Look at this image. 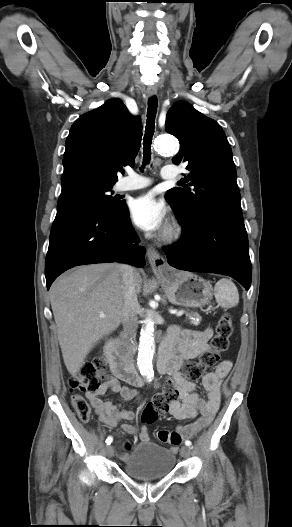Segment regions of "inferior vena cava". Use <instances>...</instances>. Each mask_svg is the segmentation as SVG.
Returning <instances> with one entry per match:
<instances>
[{
  "label": "inferior vena cava",
  "instance_id": "inferior-vena-cava-1",
  "mask_svg": "<svg viewBox=\"0 0 292 527\" xmlns=\"http://www.w3.org/2000/svg\"><path fill=\"white\" fill-rule=\"evenodd\" d=\"M123 328L128 338L136 335L138 327V311L140 305L137 299L134 269L130 265H123Z\"/></svg>",
  "mask_w": 292,
  "mask_h": 527
}]
</instances>
